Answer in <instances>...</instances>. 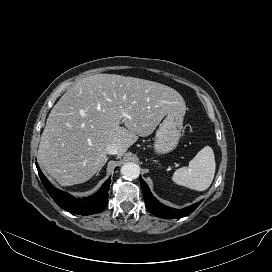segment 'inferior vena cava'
<instances>
[{
    "label": "inferior vena cava",
    "instance_id": "inferior-vena-cava-1",
    "mask_svg": "<svg viewBox=\"0 0 272 272\" xmlns=\"http://www.w3.org/2000/svg\"><path fill=\"white\" fill-rule=\"evenodd\" d=\"M106 153L109 155H116L118 154V146L117 145H109L106 148Z\"/></svg>",
    "mask_w": 272,
    "mask_h": 272
}]
</instances>
